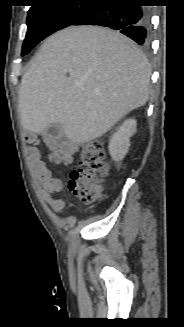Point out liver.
Returning a JSON list of instances; mask_svg holds the SVG:
<instances>
[{
	"instance_id": "obj_1",
	"label": "liver",
	"mask_w": 184,
	"mask_h": 327,
	"mask_svg": "<svg viewBox=\"0 0 184 327\" xmlns=\"http://www.w3.org/2000/svg\"><path fill=\"white\" fill-rule=\"evenodd\" d=\"M151 66L136 43L111 29L69 27L51 35L21 79L24 129L59 124L72 142L101 137L146 104Z\"/></svg>"
}]
</instances>
